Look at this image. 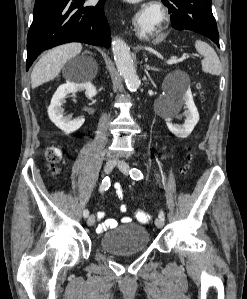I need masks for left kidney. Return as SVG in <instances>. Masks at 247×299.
<instances>
[{"mask_svg": "<svg viewBox=\"0 0 247 299\" xmlns=\"http://www.w3.org/2000/svg\"><path fill=\"white\" fill-rule=\"evenodd\" d=\"M183 105L187 108L185 111L186 120L184 124L178 125L167 122L168 129L179 138L188 137L199 121V113L193 101L190 87H186L171 96L166 114L169 116L174 115Z\"/></svg>", "mask_w": 247, "mask_h": 299, "instance_id": "obj_1", "label": "left kidney"}]
</instances>
